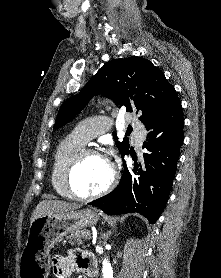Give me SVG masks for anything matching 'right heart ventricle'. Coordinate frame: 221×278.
Here are the masks:
<instances>
[{
  "mask_svg": "<svg viewBox=\"0 0 221 278\" xmlns=\"http://www.w3.org/2000/svg\"><path fill=\"white\" fill-rule=\"evenodd\" d=\"M83 146L84 143L70 135L63 139L55 150L51 169V184L55 192L63 198H72L65 185V170L70 159Z\"/></svg>",
  "mask_w": 221,
  "mask_h": 278,
  "instance_id": "obj_1",
  "label": "right heart ventricle"
}]
</instances>
